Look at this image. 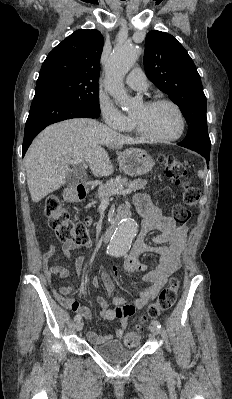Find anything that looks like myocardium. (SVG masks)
<instances>
[{"label": "myocardium", "mask_w": 232, "mask_h": 399, "mask_svg": "<svg viewBox=\"0 0 232 399\" xmlns=\"http://www.w3.org/2000/svg\"><path fill=\"white\" fill-rule=\"evenodd\" d=\"M158 105H170L172 106L178 116H179V121H180V128L179 131L171 136V137H166V138H157V137H153L149 134H147L141 127L140 123L136 120V119H132V125L135 129L136 134L143 140L150 142V143H169V142H173L178 140L185 132L186 129V120H185V116L184 113L181 109V107L176 104L173 101L170 100H166V99H155V100H150L147 101L144 106L145 107H154V106H158Z\"/></svg>", "instance_id": "obj_1"}]
</instances>
